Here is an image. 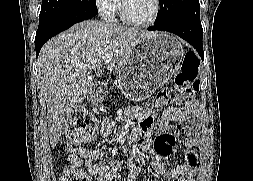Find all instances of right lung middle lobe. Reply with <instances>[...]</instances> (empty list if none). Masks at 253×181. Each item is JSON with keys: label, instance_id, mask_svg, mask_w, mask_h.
<instances>
[{"label": "right lung middle lobe", "instance_id": "1", "mask_svg": "<svg viewBox=\"0 0 253 181\" xmlns=\"http://www.w3.org/2000/svg\"><path fill=\"white\" fill-rule=\"evenodd\" d=\"M69 10L97 12L95 0H42L39 20L51 18Z\"/></svg>", "mask_w": 253, "mask_h": 181}]
</instances>
